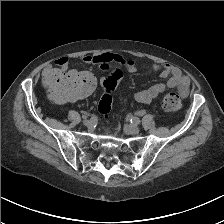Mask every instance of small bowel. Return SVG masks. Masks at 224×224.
Listing matches in <instances>:
<instances>
[{"instance_id":"1","label":"small bowel","mask_w":224,"mask_h":224,"mask_svg":"<svg viewBox=\"0 0 224 224\" xmlns=\"http://www.w3.org/2000/svg\"><path fill=\"white\" fill-rule=\"evenodd\" d=\"M82 61L88 65H95L103 70L109 69L113 65L123 67L127 72L134 73L137 71V64L133 59L123 57L118 54L106 52L97 55H85ZM69 59L61 57L57 59L56 64L62 69L68 67ZM151 69L159 73L160 77L167 79L164 83H157L151 87L138 91L134 95V99L138 103L148 104L156 99L165 89L176 88L181 97H187L190 90L189 79L182 72L169 64H152ZM55 69L47 67L43 72V78L52 75Z\"/></svg>"}]
</instances>
